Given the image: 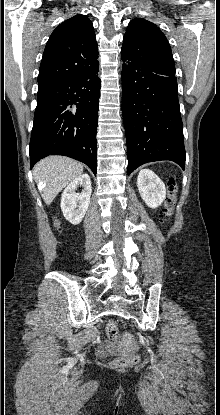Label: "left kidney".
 <instances>
[{
	"label": "left kidney",
	"mask_w": 220,
	"mask_h": 415,
	"mask_svg": "<svg viewBox=\"0 0 220 415\" xmlns=\"http://www.w3.org/2000/svg\"><path fill=\"white\" fill-rule=\"evenodd\" d=\"M137 187L141 198L150 208L159 207L166 197V189L162 180L151 170H140Z\"/></svg>",
	"instance_id": "5707ae66"
}]
</instances>
